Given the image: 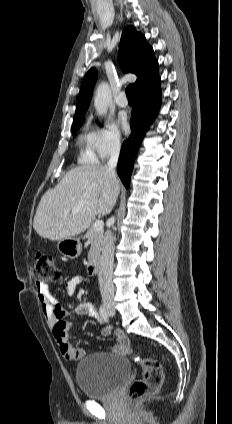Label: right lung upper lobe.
<instances>
[{"label":"right lung upper lobe","instance_id":"right-lung-upper-lobe-1","mask_svg":"<svg viewBox=\"0 0 232 424\" xmlns=\"http://www.w3.org/2000/svg\"><path fill=\"white\" fill-rule=\"evenodd\" d=\"M119 63L124 72L136 74V91L151 85L158 77V61L146 38L133 26L124 28L119 47ZM97 79L95 68L85 75L78 95L74 120L84 118Z\"/></svg>","mask_w":232,"mask_h":424}]
</instances>
